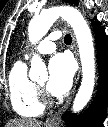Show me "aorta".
I'll list each match as a JSON object with an SVG mask.
<instances>
[{
	"label": "aorta",
	"instance_id": "762f6f07",
	"mask_svg": "<svg viewBox=\"0 0 108 127\" xmlns=\"http://www.w3.org/2000/svg\"><path fill=\"white\" fill-rule=\"evenodd\" d=\"M59 17L70 24L75 33L79 47L82 65V82L72 107V111L77 113L89 102L95 82L93 38L91 30L83 15L76 8L69 6L46 9L30 21L28 26V37L29 40L35 44L45 36L50 27ZM29 77L32 80L47 78L46 66L38 55H34L31 60Z\"/></svg>",
	"mask_w": 108,
	"mask_h": 127
}]
</instances>
